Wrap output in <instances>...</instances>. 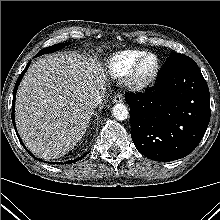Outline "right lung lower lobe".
I'll return each instance as SVG.
<instances>
[{
	"instance_id": "obj_1",
	"label": "right lung lower lobe",
	"mask_w": 220,
	"mask_h": 220,
	"mask_svg": "<svg viewBox=\"0 0 220 220\" xmlns=\"http://www.w3.org/2000/svg\"><path fill=\"white\" fill-rule=\"evenodd\" d=\"M29 64H30V62H28L27 67L25 68V70H24V71L20 74V76L18 77L17 82H16L15 87H14L13 101H12V122H13L14 125H15L14 109H15L16 92H17L18 86H19V84H20V81H21V79H22L24 73L26 72L27 68L29 67ZM14 128H15L16 133H17V135H18V132H17V129H16L15 126H14ZM18 138H19L21 144L23 145V143H22V141H21L19 135H18ZM23 147H24V145H23ZM24 148H25V147H24ZM25 149H26V148H25ZM27 151H28V150H27ZM29 154H31V153L29 152ZM86 154H87V153H85V154H84L83 156H81L79 159H75V160H72V161H69V162H65V163H67V164H68V163H75V162H77L78 160L82 159ZM32 156H33V155H32Z\"/></svg>"
}]
</instances>
